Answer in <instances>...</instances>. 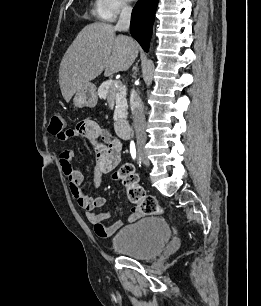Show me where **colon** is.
Returning <instances> with one entry per match:
<instances>
[{"mask_svg":"<svg viewBox=\"0 0 261 306\" xmlns=\"http://www.w3.org/2000/svg\"><path fill=\"white\" fill-rule=\"evenodd\" d=\"M49 132L60 139L68 135L65 129V119L61 112H53L49 123ZM114 179L120 181L127 189L129 200L136 205L140 213L156 215L162 213V207L155 197L147 195L138 183V177L131 164H124L114 174Z\"/></svg>","mask_w":261,"mask_h":306,"instance_id":"5ec220e1","label":"colon"}]
</instances>
